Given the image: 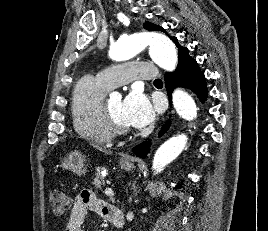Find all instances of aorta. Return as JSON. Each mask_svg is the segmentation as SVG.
I'll return each mask as SVG.
<instances>
[{"instance_id":"obj_1","label":"aorta","mask_w":268,"mask_h":231,"mask_svg":"<svg viewBox=\"0 0 268 231\" xmlns=\"http://www.w3.org/2000/svg\"><path fill=\"white\" fill-rule=\"evenodd\" d=\"M146 46L152 60L161 68L173 71L178 62L177 50L174 43L165 35L159 33H139L121 37L110 46L109 56L115 61H126ZM118 97L117 93L112 94ZM173 106L178 115L185 120H193L197 116V108L192 97L181 89H176L172 95ZM187 136L180 134L165 141L156 151L152 169L158 174L167 164L177 158L187 144Z\"/></svg>"}]
</instances>
